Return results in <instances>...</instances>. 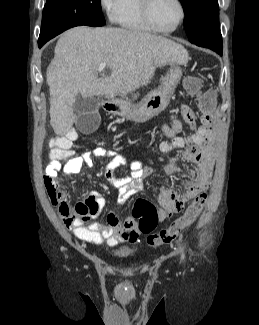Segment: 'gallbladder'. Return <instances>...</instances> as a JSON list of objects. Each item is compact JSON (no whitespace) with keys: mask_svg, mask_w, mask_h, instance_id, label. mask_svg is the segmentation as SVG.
Here are the masks:
<instances>
[{"mask_svg":"<svg viewBox=\"0 0 259 325\" xmlns=\"http://www.w3.org/2000/svg\"><path fill=\"white\" fill-rule=\"evenodd\" d=\"M98 108V99L96 97H84L80 94L76 96L73 111L78 117L77 126L84 136H91L92 131H95L100 125Z\"/></svg>","mask_w":259,"mask_h":325,"instance_id":"bac80fb5","label":"gallbladder"}]
</instances>
